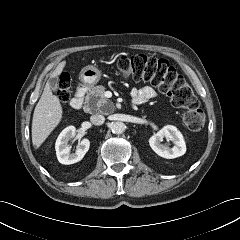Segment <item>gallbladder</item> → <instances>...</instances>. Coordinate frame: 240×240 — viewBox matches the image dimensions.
Here are the masks:
<instances>
[{
  "instance_id": "gallbladder-1",
  "label": "gallbladder",
  "mask_w": 240,
  "mask_h": 240,
  "mask_svg": "<svg viewBox=\"0 0 240 240\" xmlns=\"http://www.w3.org/2000/svg\"><path fill=\"white\" fill-rule=\"evenodd\" d=\"M49 86H50L52 91H56V89L58 87V79L57 78H51L49 80Z\"/></svg>"
}]
</instances>
